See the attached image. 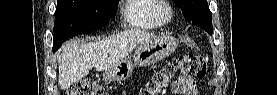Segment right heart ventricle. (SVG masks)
<instances>
[{
    "label": "right heart ventricle",
    "instance_id": "e07e8e85",
    "mask_svg": "<svg viewBox=\"0 0 277 95\" xmlns=\"http://www.w3.org/2000/svg\"><path fill=\"white\" fill-rule=\"evenodd\" d=\"M155 0H125L124 26L129 29H153L157 24L149 12Z\"/></svg>",
    "mask_w": 277,
    "mask_h": 95
}]
</instances>
